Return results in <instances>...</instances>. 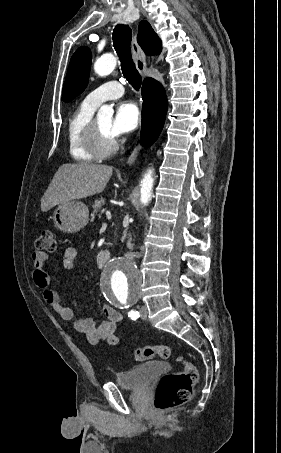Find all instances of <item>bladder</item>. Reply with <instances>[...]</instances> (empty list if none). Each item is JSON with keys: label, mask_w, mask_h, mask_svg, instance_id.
Returning <instances> with one entry per match:
<instances>
[{"label": "bladder", "mask_w": 281, "mask_h": 453, "mask_svg": "<svg viewBox=\"0 0 281 453\" xmlns=\"http://www.w3.org/2000/svg\"><path fill=\"white\" fill-rule=\"evenodd\" d=\"M169 364L155 361L120 372L116 376V383L128 389H140L147 386L156 377L168 373Z\"/></svg>", "instance_id": "31cf9c89"}]
</instances>
